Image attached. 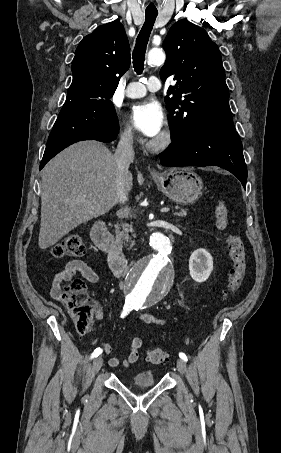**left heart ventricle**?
I'll return each instance as SVG.
<instances>
[{
  "mask_svg": "<svg viewBox=\"0 0 281 453\" xmlns=\"http://www.w3.org/2000/svg\"><path fill=\"white\" fill-rule=\"evenodd\" d=\"M161 134H162V131L159 134H157L156 136H154L152 139L160 138Z\"/></svg>",
  "mask_w": 281,
  "mask_h": 453,
  "instance_id": "b2bd125f",
  "label": "left heart ventricle"
}]
</instances>
